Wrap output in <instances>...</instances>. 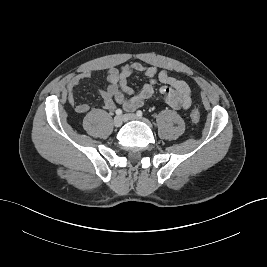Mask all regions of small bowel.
<instances>
[{"label":"small bowel","instance_id":"1","mask_svg":"<svg viewBox=\"0 0 267 267\" xmlns=\"http://www.w3.org/2000/svg\"><path fill=\"white\" fill-rule=\"evenodd\" d=\"M133 74H142L147 78V82L138 92H135L128 83ZM91 76L90 71H85L74 76L67 83L68 103L79 114L88 113L90 106L76 102L75 89L82 81L89 80ZM106 80L107 87L100 90L103 107L106 110H113L119 105L126 111H134L154 95L158 84H161L160 95L170 107L177 110L188 109L192 104L190 87L182 78L152 65L134 62L120 68L112 67L107 71Z\"/></svg>","mask_w":267,"mask_h":267}]
</instances>
